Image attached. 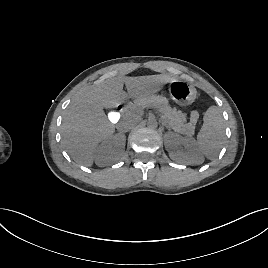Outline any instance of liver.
I'll return each instance as SVG.
<instances>
[{
  "instance_id": "1",
  "label": "liver",
  "mask_w": 268,
  "mask_h": 268,
  "mask_svg": "<svg viewBox=\"0 0 268 268\" xmlns=\"http://www.w3.org/2000/svg\"><path fill=\"white\" fill-rule=\"evenodd\" d=\"M175 78L168 75L117 76L80 90L67 107L62 123V139L72 159L92 166L97 145L115 132L104 109L115 108L128 97L141 99L160 91ZM126 85L128 93L123 91Z\"/></svg>"
}]
</instances>
